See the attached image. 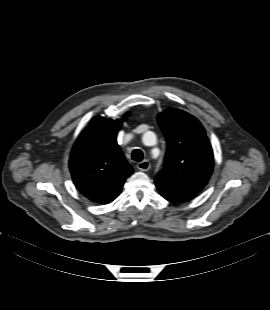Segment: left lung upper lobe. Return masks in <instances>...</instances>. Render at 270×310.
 <instances>
[{
    "label": "left lung upper lobe",
    "instance_id": "left-lung-upper-lobe-1",
    "mask_svg": "<svg viewBox=\"0 0 270 310\" xmlns=\"http://www.w3.org/2000/svg\"><path fill=\"white\" fill-rule=\"evenodd\" d=\"M167 140L164 168L155 182L201 191L213 170V151L201 123L179 109H167L157 116Z\"/></svg>",
    "mask_w": 270,
    "mask_h": 310
}]
</instances>
